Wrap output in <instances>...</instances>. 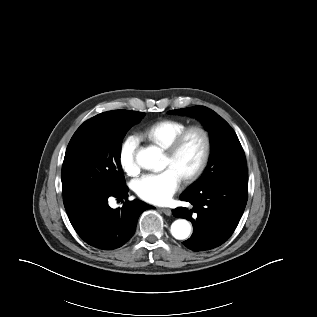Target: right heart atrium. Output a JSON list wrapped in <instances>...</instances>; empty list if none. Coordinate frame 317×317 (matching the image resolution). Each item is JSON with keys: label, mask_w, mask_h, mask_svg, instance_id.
I'll return each mask as SVG.
<instances>
[{"label": "right heart atrium", "mask_w": 317, "mask_h": 317, "mask_svg": "<svg viewBox=\"0 0 317 317\" xmlns=\"http://www.w3.org/2000/svg\"><path fill=\"white\" fill-rule=\"evenodd\" d=\"M138 147V138L135 135H129L123 140L119 148V165L128 175H135L139 170V164L137 161Z\"/></svg>", "instance_id": "1"}]
</instances>
